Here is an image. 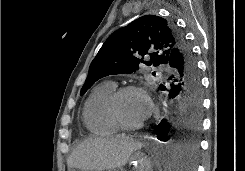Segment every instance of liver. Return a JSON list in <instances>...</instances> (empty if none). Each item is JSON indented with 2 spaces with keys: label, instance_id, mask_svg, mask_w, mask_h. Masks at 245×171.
<instances>
[{
  "label": "liver",
  "instance_id": "1",
  "mask_svg": "<svg viewBox=\"0 0 245 171\" xmlns=\"http://www.w3.org/2000/svg\"><path fill=\"white\" fill-rule=\"evenodd\" d=\"M142 143L126 135L91 137L79 144L67 159L68 168L103 171L124 166Z\"/></svg>",
  "mask_w": 245,
  "mask_h": 171
}]
</instances>
